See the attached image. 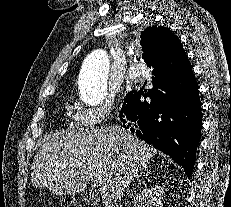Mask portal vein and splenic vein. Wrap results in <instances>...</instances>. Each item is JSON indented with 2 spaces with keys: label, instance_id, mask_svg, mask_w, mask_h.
Masks as SVG:
<instances>
[{
  "label": "portal vein and splenic vein",
  "instance_id": "portal-vein-and-splenic-vein-1",
  "mask_svg": "<svg viewBox=\"0 0 231 207\" xmlns=\"http://www.w3.org/2000/svg\"><path fill=\"white\" fill-rule=\"evenodd\" d=\"M94 185H101V181H95Z\"/></svg>",
  "mask_w": 231,
  "mask_h": 207
}]
</instances>
